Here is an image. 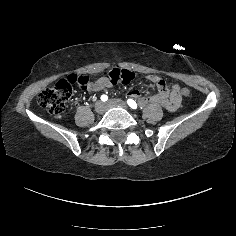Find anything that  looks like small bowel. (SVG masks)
Here are the masks:
<instances>
[{
  "label": "small bowel",
  "mask_w": 236,
  "mask_h": 236,
  "mask_svg": "<svg viewBox=\"0 0 236 236\" xmlns=\"http://www.w3.org/2000/svg\"><path fill=\"white\" fill-rule=\"evenodd\" d=\"M149 80L152 81L153 83H155L156 85H158L159 87L165 88V81L163 79H161L160 77L155 76V75H151V76H149ZM110 85L111 84L107 80L101 79L98 83L91 86L90 90L91 91H99L103 88L109 87ZM130 95L137 97L139 95V92L137 90H133L130 92Z\"/></svg>",
  "instance_id": "obj_1"
}]
</instances>
